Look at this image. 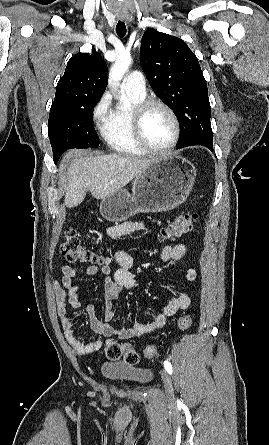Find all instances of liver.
<instances>
[{
  "label": "liver",
  "mask_w": 269,
  "mask_h": 445,
  "mask_svg": "<svg viewBox=\"0 0 269 445\" xmlns=\"http://www.w3.org/2000/svg\"><path fill=\"white\" fill-rule=\"evenodd\" d=\"M68 161L69 164L64 165ZM154 161L131 155L94 156L80 150L69 151L61 165L68 179L65 205L78 206L88 191L94 198L104 199L121 190Z\"/></svg>",
  "instance_id": "liver-1"
}]
</instances>
